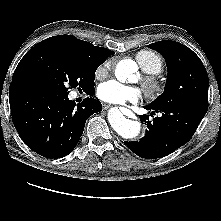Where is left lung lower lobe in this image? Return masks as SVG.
<instances>
[{"label":"left lung lower lobe","instance_id":"1","mask_svg":"<svg viewBox=\"0 0 221 221\" xmlns=\"http://www.w3.org/2000/svg\"><path fill=\"white\" fill-rule=\"evenodd\" d=\"M144 108L153 110L151 115H155V112L162 115L153 121L147 115H139L141 122L148 128L145 136L140 141L124 143L136 155L156 159L169 155L192 138L207 112L208 104L186 106L176 103L163 108L149 104Z\"/></svg>","mask_w":221,"mask_h":221}]
</instances>
